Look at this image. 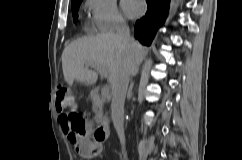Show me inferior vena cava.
<instances>
[{"label": "inferior vena cava", "mask_w": 242, "mask_h": 160, "mask_svg": "<svg viewBox=\"0 0 242 160\" xmlns=\"http://www.w3.org/2000/svg\"><path fill=\"white\" fill-rule=\"evenodd\" d=\"M117 35L126 43V45L133 49L134 42L130 37L129 27L126 23H120L116 27ZM126 68L122 69L117 76L112 89V103H111V116L115 130L120 139L124 159L127 160V153L125 151V134H124V102L128 89L129 81H132L133 73H140V68H136L135 61H128Z\"/></svg>", "instance_id": "inferior-vena-cava-1"}]
</instances>
